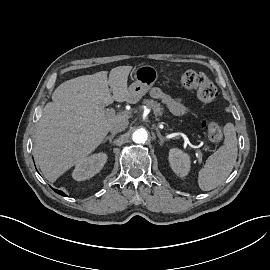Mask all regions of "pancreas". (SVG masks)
Wrapping results in <instances>:
<instances>
[{
    "label": "pancreas",
    "mask_w": 270,
    "mask_h": 270,
    "mask_svg": "<svg viewBox=\"0 0 270 270\" xmlns=\"http://www.w3.org/2000/svg\"><path fill=\"white\" fill-rule=\"evenodd\" d=\"M143 104L147 107L152 108L156 116H161L163 114V108L160 103L152 99L143 100Z\"/></svg>",
    "instance_id": "pancreas-1"
}]
</instances>
